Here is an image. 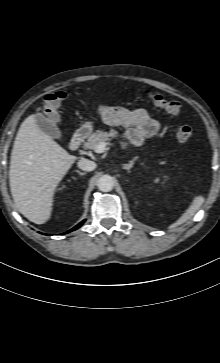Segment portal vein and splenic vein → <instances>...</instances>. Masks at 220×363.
I'll use <instances>...</instances> for the list:
<instances>
[{"label":"portal vein and splenic vein","mask_w":220,"mask_h":363,"mask_svg":"<svg viewBox=\"0 0 220 363\" xmlns=\"http://www.w3.org/2000/svg\"><path fill=\"white\" fill-rule=\"evenodd\" d=\"M106 145L105 142H101L94 148V151L96 153H103L106 150Z\"/></svg>","instance_id":"portal-vein-and-splenic-vein-1"}]
</instances>
